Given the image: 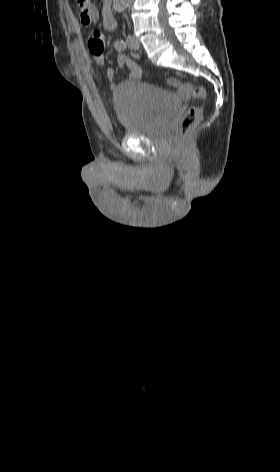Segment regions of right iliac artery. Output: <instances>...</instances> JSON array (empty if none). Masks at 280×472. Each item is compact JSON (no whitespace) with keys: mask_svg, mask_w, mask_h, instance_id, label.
Returning a JSON list of instances; mask_svg holds the SVG:
<instances>
[{"mask_svg":"<svg viewBox=\"0 0 280 472\" xmlns=\"http://www.w3.org/2000/svg\"><path fill=\"white\" fill-rule=\"evenodd\" d=\"M131 56H133L134 58H139V55L135 53H131Z\"/></svg>","mask_w":280,"mask_h":472,"instance_id":"1","label":"right iliac artery"}]
</instances>
